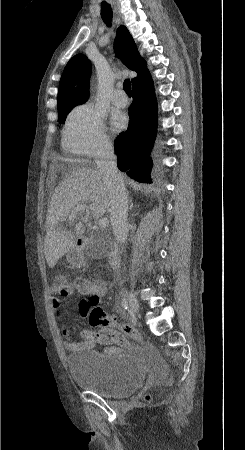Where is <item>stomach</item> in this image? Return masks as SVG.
Instances as JSON below:
<instances>
[{
  "instance_id": "obj_1",
  "label": "stomach",
  "mask_w": 245,
  "mask_h": 450,
  "mask_svg": "<svg viewBox=\"0 0 245 450\" xmlns=\"http://www.w3.org/2000/svg\"><path fill=\"white\" fill-rule=\"evenodd\" d=\"M67 260L72 265L80 266L85 261L84 253L78 247H73L67 254Z\"/></svg>"
}]
</instances>
